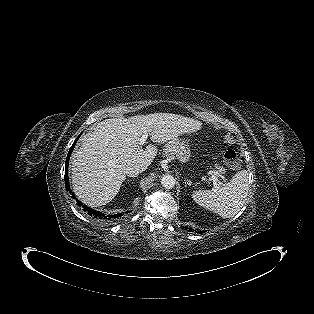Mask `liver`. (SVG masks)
<instances>
[{
	"label": "liver",
	"mask_w": 314,
	"mask_h": 314,
	"mask_svg": "<svg viewBox=\"0 0 314 314\" xmlns=\"http://www.w3.org/2000/svg\"><path fill=\"white\" fill-rule=\"evenodd\" d=\"M200 128L199 121L171 113L112 118L98 123L72 155L74 193L92 207L109 203L126 179V167L138 164L145 170L157 154L154 145L145 150L140 147L143 134L163 144Z\"/></svg>",
	"instance_id": "6515ba94"
}]
</instances>
